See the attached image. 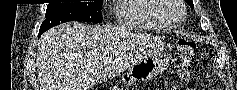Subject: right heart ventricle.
<instances>
[{
    "label": "right heart ventricle",
    "instance_id": "e07e8e85",
    "mask_svg": "<svg viewBox=\"0 0 237 90\" xmlns=\"http://www.w3.org/2000/svg\"><path fill=\"white\" fill-rule=\"evenodd\" d=\"M169 2L159 0H120L119 7H112L116 20H112L117 28L137 29H165V27L154 17L164 14V7Z\"/></svg>",
    "mask_w": 237,
    "mask_h": 90
}]
</instances>
